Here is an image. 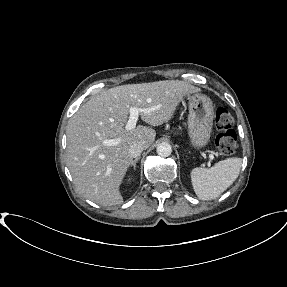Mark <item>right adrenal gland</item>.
<instances>
[{"instance_id": "1", "label": "right adrenal gland", "mask_w": 287, "mask_h": 287, "mask_svg": "<svg viewBox=\"0 0 287 287\" xmlns=\"http://www.w3.org/2000/svg\"><path fill=\"white\" fill-rule=\"evenodd\" d=\"M140 158H136L134 160H132V162L130 163V167H133L134 170H136V163L139 161Z\"/></svg>"}]
</instances>
